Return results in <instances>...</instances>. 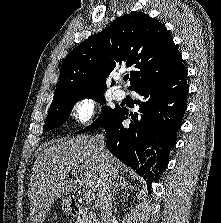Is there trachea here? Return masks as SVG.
I'll return each mask as SVG.
<instances>
[{
	"instance_id": "3493384b",
	"label": "trachea",
	"mask_w": 221,
	"mask_h": 223,
	"mask_svg": "<svg viewBox=\"0 0 221 223\" xmlns=\"http://www.w3.org/2000/svg\"><path fill=\"white\" fill-rule=\"evenodd\" d=\"M128 78H129V76L128 75H125L123 79H124V81H127Z\"/></svg>"
}]
</instances>
